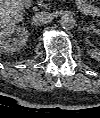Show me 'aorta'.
<instances>
[{
  "label": "aorta",
  "mask_w": 100,
  "mask_h": 118,
  "mask_svg": "<svg viewBox=\"0 0 100 118\" xmlns=\"http://www.w3.org/2000/svg\"><path fill=\"white\" fill-rule=\"evenodd\" d=\"M75 18L71 14H63L60 17L59 23L63 29H72L75 26Z\"/></svg>",
  "instance_id": "obj_1"
}]
</instances>
